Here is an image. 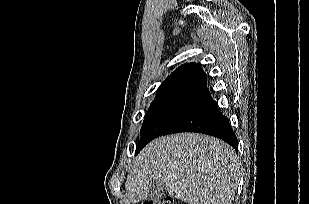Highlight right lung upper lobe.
I'll use <instances>...</instances> for the list:
<instances>
[{"label": "right lung upper lobe", "mask_w": 309, "mask_h": 204, "mask_svg": "<svg viewBox=\"0 0 309 204\" xmlns=\"http://www.w3.org/2000/svg\"><path fill=\"white\" fill-rule=\"evenodd\" d=\"M209 99L211 97L206 86L205 72L199 64L186 63L163 81L152 103L180 102L199 105Z\"/></svg>", "instance_id": "right-lung-upper-lobe-1"}]
</instances>
